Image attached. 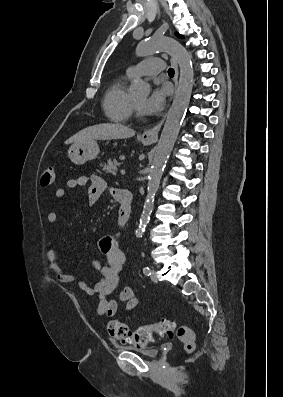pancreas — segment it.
Segmentation results:
<instances>
[{
  "label": "pancreas",
  "mask_w": 283,
  "mask_h": 397,
  "mask_svg": "<svg viewBox=\"0 0 283 397\" xmlns=\"http://www.w3.org/2000/svg\"><path fill=\"white\" fill-rule=\"evenodd\" d=\"M120 163L116 159H109L107 163L103 164V171L106 173L116 174L117 168Z\"/></svg>",
  "instance_id": "pancreas-1"
}]
</instances>
